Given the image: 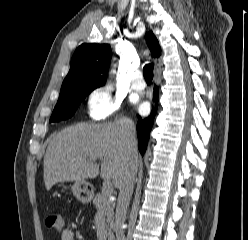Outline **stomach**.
Returning <instances> with one entry per match:
<instances>
[{
	"instance_id": "stomach-1",
	"label": "stomach",
	"mask_w": 248,
	"mask_h": 240,
	"mask_svg": "<svg viewBox=\"0 0 248 240\" xmlns=\"http://www.w3.org/2000/svg\"><path fill=\"white\" fill-rule=\"evenodd\" d=\"M62 186V191H65L68 187L64 184ZM73 195L83 203H89L93 198V189L90 183L87 181H75L73 185L70 186Z\"/></svg>"
}]
</instances>
